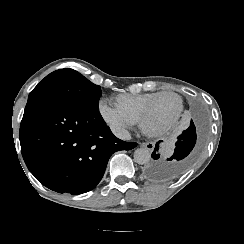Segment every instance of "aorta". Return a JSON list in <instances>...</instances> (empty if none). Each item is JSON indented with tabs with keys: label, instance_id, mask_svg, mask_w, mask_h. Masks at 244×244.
I'll return each mask as SVG.
<instances>
[{
	"label": "aorta",
	"instance_id": "1",
	"mask_svg": "<svg viewBox=\"0 0 244 244\" xmlns=\"http://www.w3.org/2000/svg\"><path fill=\"white\" fill-rule=\"evenodd\" d=\"M151 153L147 148H137L134 151V161L138 164L144 165L150 161Z\"/></svg>",
	"mask_w": 244,
	"mask_h": 244
}]
</instances>
